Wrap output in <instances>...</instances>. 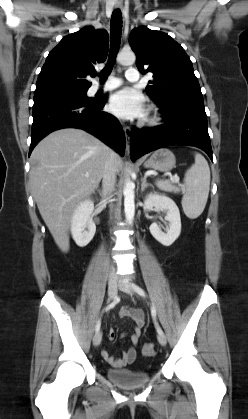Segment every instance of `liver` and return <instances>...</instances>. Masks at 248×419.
<instances>
[{"instance_id":"6515ba94","label":"liver","mask_w":248,"mask_h":419,"mask_svg":"<svg viewBox=\"0 0 248 419\" xmlns=\"http://www.w3.org/2000/svg\"><path fill=\"white\" fill-rule=\"evenodd\" d=\"M110 149L93 135L66 128L46 136L31 154L30 184L39 212L63 251L69 250V229L77 204L94 193ZM117 171L122 160L116 154Z\"/></svg>"}]
</instances>
